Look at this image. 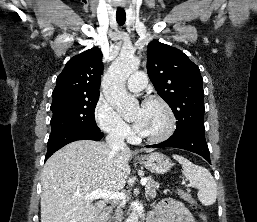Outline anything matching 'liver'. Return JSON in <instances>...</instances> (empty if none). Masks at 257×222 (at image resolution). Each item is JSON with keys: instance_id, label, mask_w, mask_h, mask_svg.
I'll list each match as a JSON object with an SVG mask.
<instances>
[{"instance_id": "liver-1", "label": "liver", "mask_w": 257, "mask_h": 222, "mask_svg": "<svg viewBox=\"0 0 257 222\" xmlns=\"http://www.w3.org/2000/svg\"><path fill=\"white\" fill-rule=\"evenodd\" d=\"M131 157L127 147L112 152L107 144L91 140L75 141L55 152L43 168L41 222H94L108 199L92 203L84 195L123 189Z\"/></svg>"}]
</instances>
